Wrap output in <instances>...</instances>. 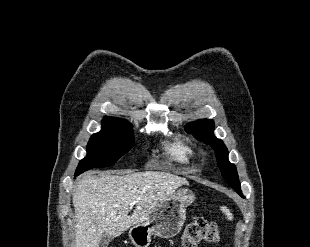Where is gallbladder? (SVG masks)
<instances>
[{
	"instance_id": "obj_1",
	"label": "gallbladder",
	"mask_w": 310,
	"mask_h": 247,
	"mask_svg": "<svg viewBox=\"0 0 310 247\" xmlns=\"http://www.w3.org/2000/svg\"><path fill=\"white\" fill-rule=\"evenodd\" d=\"M111 240V236L109 234H103L100 238L98 247H108Z\"/></svg>"
}]
</instances>
